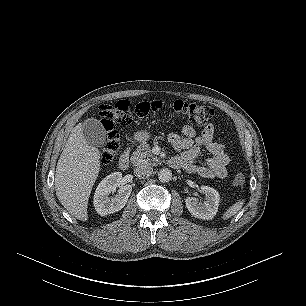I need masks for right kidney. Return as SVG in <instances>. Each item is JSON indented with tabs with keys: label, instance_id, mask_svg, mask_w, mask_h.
I'll use <instances>...</instances> for the list:
<instances>
[{
	"label": "right kidney",
	"instance_id": "obj_1",
	"mask_svg": "<svg viewBox=\"0 0 306 306\" xmlns=\"http://www.w3.org/2000/svg\"><path fill=\"white\" fill-rule=\"evenodd\" d=\"M121 179L122 173L114 172L105 177L97 186L93 203L99 215L105 216L118 212L126 205L132 191L131 185L122 186L115 198L109 197L111 193L116 191Z\"/></svg>",
	"mask_w": 306,
	"mask_h": 306
}]
</instances>
